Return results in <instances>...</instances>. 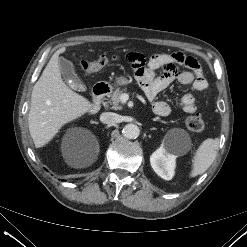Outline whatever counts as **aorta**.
<instances>
[{"label": "aorta", "mask_w": 247, "mask_h": 247, "mask_svg": "<svg viewBox=\"0 0 247 247\" xmlns=\"http://www.w3.org/2000/svg\"><path fill=\"white\" fill-rule=\"evenodd\" d=\"M140 129L135 124H127L122 130V134L127 139H136L139 136Z\"/></svg>", "instance_id": "1"}]
</instances>
